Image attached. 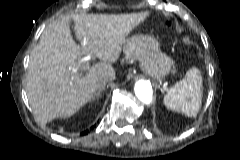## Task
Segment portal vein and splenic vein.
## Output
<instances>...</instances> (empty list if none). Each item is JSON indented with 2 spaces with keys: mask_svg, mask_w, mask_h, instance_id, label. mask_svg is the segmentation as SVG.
<instances>
[{
  "mask_svg": "<svg viewBox=\"0 0 240 160\" xmlns=\"http://www.w3.org/2000/svg\"><path fill=\"white\" fill-rule=\"evenodd\" d=\"M89 68V64L87 63V66L84 68V70L83 71H85V70H87ZM82 73H80V75H81Z\"/></svg>",
  "mask_w": 240,
  "mask_h": 160,
  "instance_id": "1",
  "label": "portal vein and splenic vein"
}]
</instances>
